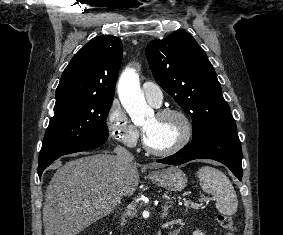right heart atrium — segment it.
Listing matches in <instances>:
<instances>
[{"label": "right heart atrium", "mask_w": 283, "mask_h": 235, "mask_svg": "<svg viewBox=\"0 0 283 235\" xmlns=\"http://www.w3.org/2000/svg\"><path fill=\"white\" fill-rule=\"evenodd\" d=\"M106 123L113 139L126 146L137 144L140 132L131 122L118 100L111 103L107 112Z\"/></svg>", "instance_id": "d8ad5b80"}]
</instances>
